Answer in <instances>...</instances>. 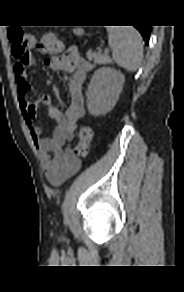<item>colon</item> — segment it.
<instances>
[{"label":"colon","mask_w":184,"mask_h":292,"mask_svg":"<svg viewBox=\"0 0 184 292\" xmlns=\"http://www.w3.org/2000/svg\"><path fill=\"white\" fill-rule=\"evenodd\" d=\"M8 38L12 45V54L14 58L20 62H26L28 59V48L31 41L29 35L23 29L13 27L8 31ZM61 48V42L52 32L44 33L38 45L39 52L48 56L60 52ZM92 138V128L90 126H83L79 131V142L75 148L74 154L79 157L86 156Z\"/></svg>","instance_id":"5ec220e1"}]
</instances>
